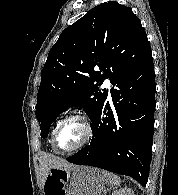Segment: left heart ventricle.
Instances as JSON below:
<instances>
[{
  "label": "left heart ventricle",
  "instance_id": "1",
  "mask_svg": "<svg viewBox=\"0 0 178 195\" xmlns=\"http://www.w3.org/2000/svg\"><path fill=\"white\" fill-rule=\"evenodd\" d=\"M84 137V127L79 121L64 124L58 132L57 147L70 149L78 145Z\"/></svg>",
  "mask_w": 178,
  "mask_h": 195
}]
</instances>
